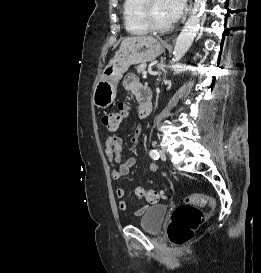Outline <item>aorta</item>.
Here are the masks:
<instances>
[{
	"label": "aorta",
	"instance_id": "762f6f07",
	"mask_svg": "<svg viewBox=\"0 0 261 273\" xmlns=\"http://www.w3.org/2000/svg\"><path fill=\"white\" fill-rule=\"evenodd\" d=\"M207 0H194L192 12L185 23L182 31L177 37L174 51L173 61L179 62L188 49L191 47L197 31L200 28V19L205 10Z\"/></svg>",
	"mask_w": 261,
	"mask_h": 273
}]
</instances>
